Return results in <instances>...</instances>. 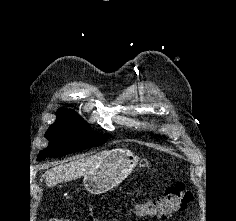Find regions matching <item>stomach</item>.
<instances>
[{
  "label": "stomach",
  "mask_w": 236,
  "mask_h": 221,
  "mask_svg": "<svg viewBox=\"0 0 236 221\" xmlns=\"http://www.w3.org/2000/svg\"><path fill=\"white\" fill-rule=\"evenodd\" d=\"M138 166V157L128 150L115 149L90 173L84 176V186L92 194H102L120 184Z\"/></svg>",
  "instance_id": "stomach-1"
}]
</instances>
